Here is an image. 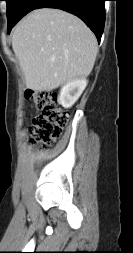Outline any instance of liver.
I'll return each mask as SVG.
<instances>
[{"instance_id":"obj_1","label":"liver","mask_w":133,"mask_h":253,"mask_svg":"<svg viewBox=\"0 0 133 253\" xmlns=\"http://www.w3.org/2000/svg\"><path fill=\"white\" fill-rule=\"evenodd\" d=\"M12 48L26 87L50 91L88 76L98 52L93 32L78 17L58 9H37L14 28Z\"/></svg>"}]
</instances>
